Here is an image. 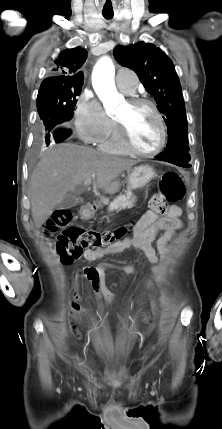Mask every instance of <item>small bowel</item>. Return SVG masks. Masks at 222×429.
Here are the masks:
<instances>
[{
  "label": "small bowel",
  "mask_w": 222,
  "mask_h": 429,
  "mask_svg": "<svg viewBox=\"0 0 222 429\" xmlns=\"http://www.w3.org/2000/svg\"><path fill=\"white\" fill-rule=\"evenodd\" d=\"M181 214L182 210L179 206H168L163 202V197L160 194L155 195L150 201V210L136 224L132 238L117 241L105 248L86 250L83 257L85 260L93 262L108 254H117L129 248H135L144 253L151 264L152 272L157 273L159 261L165 259L168 254V242L175 237L176 232L182 227ZM160 233L162 234L159 236ZM154 242H156V248L153 246ZM110 269H116L128 275L137 273L136 268L131 265L111 262H102L96 267L87 266L80 271V274L91 282L98 301L97 312H101L105 306L114 301V296L107 288L105 281L106 271ZM80 274H77L76 278ZM147 284L149 287L151 286V282L148 280ZM72 308L78 311L81 316L87 315L86 312L80 310L78 296H75ZM148 334L149 332L144 337Z\"/></svg>",
  "instance_id": "obj_1"
}]
</instances>
